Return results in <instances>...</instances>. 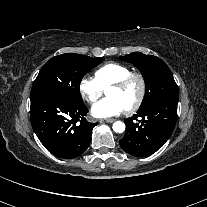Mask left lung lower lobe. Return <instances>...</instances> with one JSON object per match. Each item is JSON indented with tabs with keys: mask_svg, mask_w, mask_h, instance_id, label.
<instances>
[{
	"mask_svg": "<svg viewBox=\"0 0 207 207\" xmlns=\"http://www.w3.org/2000/svg\"><path fill=\"white\" fill-rule=\"evenodd\" d=\"M177 104L178 98H162L125 119L126 132L119 141L122 149L135 157L149 156L160 149L174 130Z\"/></svg>",
	"mask_w": 207,
	"mask_h": 207,
	"instance_id": "0a47b994",
	"label": "left lung lower lobe"
}]
</instances>
